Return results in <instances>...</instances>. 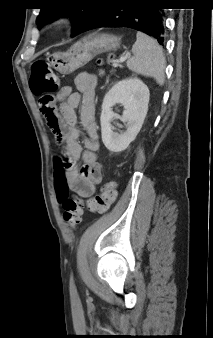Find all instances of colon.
I'll return each instance as SVG.
<instances>
[{
    "label": "colon",
    "instance_id": "colon-1",
    "mask_svg": "<svg viewBox=\"0 0 213 338\" xmlns=\"http://www.w3.org/2000/svg\"><path fill=\"white\" fill-rule=\"evenodd\" d=\"M111 58L107 61L110 62ZM31 91L34 95L40 96V110L50 127L56 143L63 140V130L59 125V118L53 104L50 94L59 89L60 83L57 75L50 66L44 61H36L32 65V73L29 79ZM67 167L69 164L66 165ZM55 188L58 198L63 205V216L67 226L75 229L81 222L84 207L93 212L104 214L110 209L111 204L116 200L117 188L115 183L105 184L94 196L87 199L84 203L74 196L67 195L66 179L62 174L56 177Z\"/></svg>",
    "mask_w": 213,
    "mask_h": 338
}]
</instances>
